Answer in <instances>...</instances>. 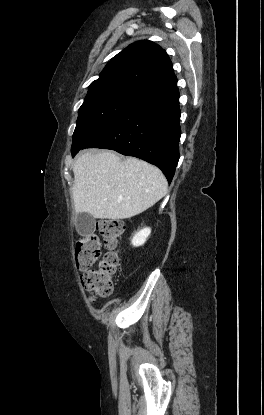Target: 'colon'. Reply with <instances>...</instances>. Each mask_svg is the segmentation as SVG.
Here are the masks:
<instances>
[{
  "instance_id": "colon-1",
  "label": "colon",
  "mask_w": 264,
  "mask_h": 415,
  "mask_svg": "<svg viewBox=\"0 0 264 415\" xmlns=\"http://www.w3.org/2000/svg\"><path fill=\"white\" fill-rule=\"evenodd\" d=\"M124 224L116 220H104L97 229L76 243V268L82 272L81 286L91 293V302L96 296L108 297L112 292L113 278L118 271V258L110 252L99 258L101 240L108 249H114L123 234Z\"/></svg>"
}]
</instances>
